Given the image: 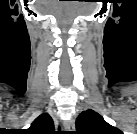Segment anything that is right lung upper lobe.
Here are the masks:
<instances>
[{"instance_id": "right-lung-upper-lobe-1", "label": "right lung upper lobe", "mask_w": 137, "mask_h": 134, "mask_svg": "<svg viewBox=\"0 0 137 134\" xmlns=\"http://www.w3.org/2000/svg\"><path fill=\"white\" fill-rule=\"evenodd\" d=\"M26 134H54V122L48 113L39 115L31 124V126L24 130Z\"/></svg>"}]
</instances>
